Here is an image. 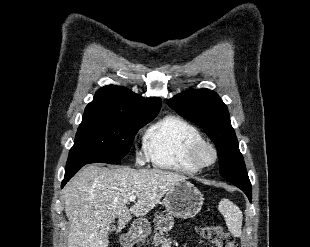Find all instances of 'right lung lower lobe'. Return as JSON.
Wrapping results in <instances>:
<instances>
[{"instance_id":"98d812e1","label":"right lung lower lobe","mask_w":310,"mask_h":247,"mask_svg":"<svg viewBox=\"0 0 310 247\" xmlns=\"http://www.w3.org/2000/svg\"><path fill=\"white\" fill-rule=\"evenodd\" d=\"M85 164L77 165L74 167L66 168L65 178L62 182L61 187H63Z\"/></svg>"}]
</instances>
